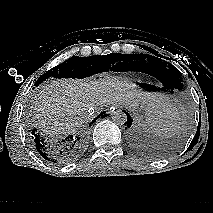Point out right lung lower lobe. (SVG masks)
Masks as SVG:
<instances>
[{
  "label": "right lung lower lobe",
  "instance_id": "right-lung-lower-lobe-1",
  "mask_svg": "<svg viewBox=\"0 0 213 213\" xmlns=\"http://www.w3.org/2000/svg\"><path fill=\"white\" fill-rule=\"evenodd\" d=\"M40 83L41 81H37L35 86ZM105 116L107 114L103 111L91 124L99 117ZM30 137L35 149L44 159L58 164H64L77 158L85 145V138L82 136L69 135L63 139H52L41 134L35 127L31 129Z\"/></svg>",
  "mask_w": 213,
  "mask_h": 213
}]
</instances>
